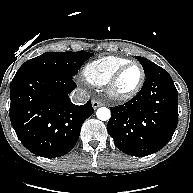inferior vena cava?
I'll use <instances>...</instances> for the list:
<instances>
[{
  "mask_svg": "<svg viewBox=\"0 0 193 193\" xmlns=\"http://www.w3.org/2000/svg\"><path fill=\"white\" fill-rule=\"evenodd\" d=\"M89 99L90 95L88 94V92L81 88L74 90L71 95V101L77 105L86 103Z\"/></svg>",
  "mask_w": 193,
  "mask_h": 193,
  "instance_id": "inferior-vena-cava-1",
  "label": "inferior vena cava"
}]
</instances>
